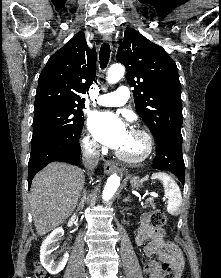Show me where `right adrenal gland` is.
Returning a JSON list of instances; mask_svg holds the SVG:
<instances>
[{
    "instance_id": "1",
    "label": "right adrenal gland",
    "mask_w": 221,
    "mask_h": 278,
    "mask_svg": "<svg viewBox=\"0 0 221 278\" xmlns=\"http://www.w3.org/2000/svg\"><path fill=\"white\" fill-rule=\"evenodd\" d=\"M86 196H87V193H86V190H84L83 197H82L81 201L78 204V208L84 206L85 201H86Z\"/></svg>"
}]
</instances>
